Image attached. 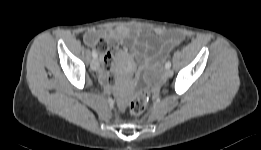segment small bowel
Segmentation results:
<instances>
[{"label": "small bowel", "mask_w": 261, "mask_h": 150, "mask_svg": "<svg viewBox=\"0 0 261 150\" xmlns=\"http://www.w3.org/2000/svg\"><path fill=\"white\" fill-rule=\"evenodd\" d=\"M146 32L148 35H143ZM184 34L177 30H166L160 27L117 26L114 28L90 29L84 34L88 46L97 47L103 53V63L108 71V81L114 82L109 73L111 55L107 51L109 43L122 42L127 45L135 59L131 70L136 78L139 69H145L146 79L154 82L159 71V61L164 59L170 50L180 44ZM105 76V73H101Z\"/></svg>", "instance_id": "c3829d8e"}]
</instances>
